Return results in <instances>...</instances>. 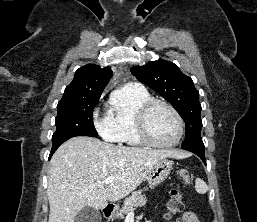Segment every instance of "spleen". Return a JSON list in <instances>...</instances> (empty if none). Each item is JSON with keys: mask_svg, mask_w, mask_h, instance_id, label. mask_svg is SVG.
<instances>
[{"mask_svg": "<svg viewBox=\"0 0 257 222\" xmlns=\"http://www.w3.org/2000/svg\"><path fill=\"white\" fill-rule=\"evenodd\" d=\"M195 189L199 194H204L208 191L207 184L200 178L195 180Z\"/></svg>", "mask_w": 257, "mask_h": 222, "instance_id": "1", "label": "spleen"}]
</instances>
